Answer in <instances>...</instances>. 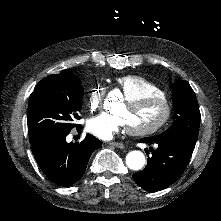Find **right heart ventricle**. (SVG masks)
Masks as SVG:
<instances>
[{"label":"right heart ventricle","mask_w":221,"mask_h":221,"mask_svg":"<svg viewBox=\"0 0 221 221\" xmlns=\"http://www.w3.org/2000/svg\"><path fill=\"white\" fill-rule=\"evenodd\" d=\"M117 83L122 87V97L129 107L133 108L139 101H147L156 92L167 90L158 83L140 76L124 75L118 78Z\"/></svg>","instance_id":"obj_1"}]
</instances>
